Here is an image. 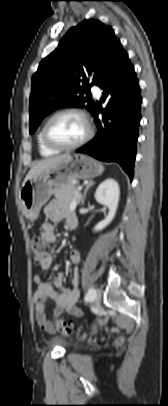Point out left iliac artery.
Here are the masks:
<instances>
[{"mask_svg": "<svg viewBox=\"0 0 168 406\" xmlns=\"http://www.w3.org/2000/svg\"><path fill=\"white\" fill-rule=\"evenodd\" d=\"M95 295V289L94 288H90L85 296V301H91L93 300Z\"/></svg>", "mask_w": 168, "mask_h": 406, "instance_id": "obj_1", "label": "left iliac artery"}]
</instances>
